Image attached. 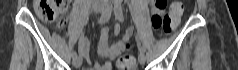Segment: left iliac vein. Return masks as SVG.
I'll list each match as a JSON object with an SVG mask.
<instances>
[{
    "mask_svg": "<svg viewBox=\"0 0 238 70\" xmlns=\"http://www.w3.org/2000/svg\"><path fill=\"white\" fill-rule=\"evenodd\" d=\"M111 8H112V5H110V4L106 6V10H107V9H111ZM138 61H139V63L142 64V65L145 63L144 53H140V54H139V56H138Z\"/></svg>",
    "mask_w": 238,
    "mask_h": 70,
    "instance_id": "left-iliac-vein-1",
    "label": "left iliac vein"
}]
</instances>
